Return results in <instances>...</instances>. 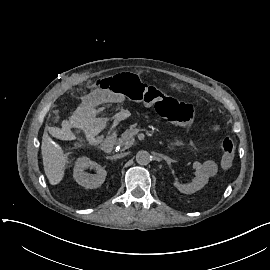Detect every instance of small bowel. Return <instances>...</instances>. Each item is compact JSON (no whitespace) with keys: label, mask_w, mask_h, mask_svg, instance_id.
<instances>
[{"label":"small bowel","mask_w":270,"mask_h":270,"mask_svg":"<svg viewBox=\"0 0 270 270\" xmlns=\"http://www.w3.org/2000/svg\"><path fill=\"white\" fill-rule=\"evenodd\" d=\"M173 87H179V85H173ZM97 97L99 102L102 103H122L124 101V97L121 94H117L114 92H98Z\"/></svg>","instance_id":"1"}]
</instances>
